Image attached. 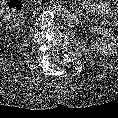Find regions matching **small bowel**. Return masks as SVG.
I'll list each match as a JSON object with an SVG mask.
<instances>
[{"label": "small bowel", "mask_w": 118, "mask_h": 118, "mask_svg": "<svg viewBox=\"0 0 118 118\" xmlns=\"http://www.w3.org/2000/svg\"><path fill=\"white\" fill-rule=\"evenodd\" d=\"M118 6V5H117ZM85 8L90 12H95L98 14H106L109 11V5L107 2L102 0H86ZM112 40L118 44V35H110L108 34Z\"/></svg>", "instance_id": "c3829d8e"}]
</instances>
